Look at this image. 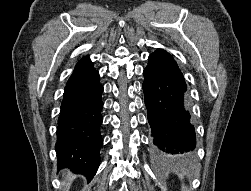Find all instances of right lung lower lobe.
I'll list each match as a JSON object with an SVG mask.
<instances>
[{"label": "right lung lower lobe", "mask_w": 251, "mask_h": 191, "mask_svg": "<svg viewBox=\"0 0 251 191\" xmlns=\"http://www.w3.org/2000/svg\"><path fill=\"white\" fill-rule=\"evenodd\" d=\"M102 93L98 72L67 84L58 118L55 147L58 168L83 174L88 182L100 164Z\"/></svg>", "instance_id": "1"}]
</instances>
